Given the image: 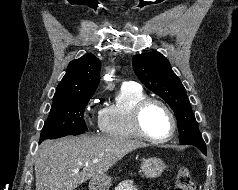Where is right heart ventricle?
I'll list each match as a JSON object with an SVG mask.
<instances>
[{
  "instance_id": "e07e8e85",
  "label": "right heart ventricle",
  "mask_w": 238,
  "mask_h": 190,
  "mask_svg": "<svg viewBox=\"0 0 238 190\" xmlns=\"http://www.w3.org/2000/svg\"><path fill=\"white\" fill-rule=\"evenodd\" d=\"M147 98L140 87H121L114 104L99 113V128L107 136L137 140L139 135L132 124V112L138 102Z\"/></svg>"
}]
</instances>
